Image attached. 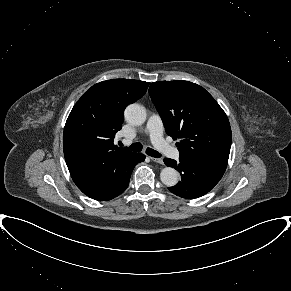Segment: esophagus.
<instances>
[{
  "label": "esophagus",
  "instance_id": "esophagus-1",
  "mask_svg": "<svg viewBox=\"0 0 291 291\" xmlns=\"http://www.w3.org/2000/svg\"><path fill=\"white\" fill-rule=\"evenodd\" d=\"M151 160L153 162H156V163H159V164H163V159H161V158L151 157Z\"/></svg>",
  "mask_w": 291,
  "mask_h": 291
}]
</instances>
